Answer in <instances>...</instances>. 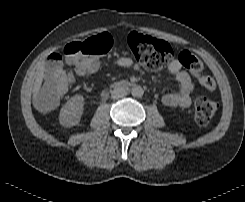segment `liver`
<instances>
[{
	"label": "liver",
	"mask_w": 245,
	"mask_h": 202,
	"mask_svg": "<svg viewBox=\"0 0 245 202\" xmlns=\"http://www.w3.org/2000/svg\"><path fill=\"white\" fill-rule=\"evenodd\" d=\"M43 77H44V65H41L39 67V72H38V75L35 81V86H34V90L36 93L39 91L41 87Z\"/></svg>",
	"instance_id": "obj_1"
}]
</instances>
